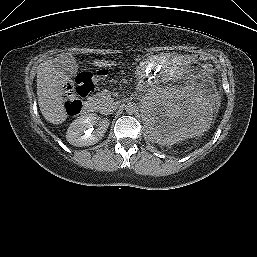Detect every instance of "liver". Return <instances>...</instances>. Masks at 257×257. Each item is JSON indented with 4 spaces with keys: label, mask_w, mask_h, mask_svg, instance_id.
<instances>
[{
    "label": "liver",
    "mask_w": 257,
    "mask_h": 257,
    "mask_svg": "<svg viewBox=\"0 0 257 257\" xmlns=\"http://www.w3.org/2000/svg\"><path fill=\"white\" fill-rule=\"evenodd\" d=\"M98 67L114 65L108 61L96 60ZM63 80L60 72L54 66V60L41 63L37 73V96L43 117L51 124L58 125L67 118L63 104Z\"/></svg>",
    "instance_id": "1"
}]
</instances>
